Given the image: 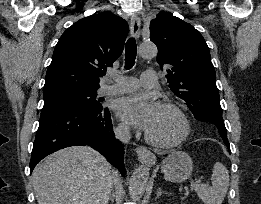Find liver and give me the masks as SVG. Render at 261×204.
Listing matches in <instances>:
<instances>
[{
  "instance_id": "1",
  "label": "liver",
  "mask_w": 261,
  "mask_h": 204,
  "mask_svg": "<svg viewBox=\"0 0 261 204\" xmlns=\"http://www.w3.org/2000/svg\"><path fill=\"white\" fill-rule=\"evenodd\" d=\"M38 204H108L111 166L88 146L61 149L41 161L32 173Z\"/></svg>"
}]
</instances>
